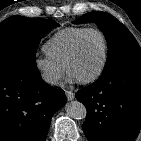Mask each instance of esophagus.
Returning <instances> with one entry per match:
<instances>
[{
  "instance_id": "1",
  "label": "esophagus",
  "mask_w": 141,
  "mask_h": 141,
  "mask_svg": "<svg viewBox=\"0 0 141 141\" xmlns=\"http://www.w3.org/2000/svg\"><path fill=\"white\" fill-rule=\"evenodd\" d=\"M67 100L71 101L75 98V94L72 91H66Z\"/></svg>"
}]
</instances>
